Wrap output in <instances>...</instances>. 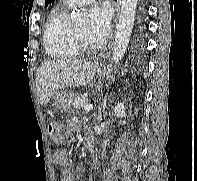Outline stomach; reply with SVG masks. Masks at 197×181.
Returning <instances> with one entry per match:
<instances>
[{
  "label": "stomach",
  "instance_id": "1",
  "mask_svg": "<svg viewBox=\"0 0 197 181\" xmlns=\"http://www.w3.org/2000/svg\"><path fill=\"white\" fill-rule=\"evenodd\" d=\"M99 77H105L108 74L106 68L99 67L96 71ZM74 94L71 91L61 90L55 93L54 101L58 110L66 112L71 108Z\"/></svg>",
  "mask_w": 197,
  "mask_h": 181
}]
</instances>
